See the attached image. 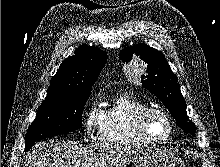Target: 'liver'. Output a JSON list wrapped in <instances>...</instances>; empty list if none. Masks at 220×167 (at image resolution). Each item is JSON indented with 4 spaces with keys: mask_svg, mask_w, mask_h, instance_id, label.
Here are the masks:
<instances>
[{
    "mask_svg": "<svg viewBox=\"0 0 220 167\" xmlns=\"http://www.w3.org/2000/svg\"><path fill=\"white\" fill-rule=\"evenodd\" d=\"M128 149L104 143L38 142L28 152L24 167H112Z\"/></svg>",
    "mask_w": 220,
    "mask_h": 167,
    "instance_id": "6515ba94",
    "label": "liver"
}]
</instances>
